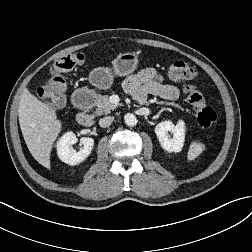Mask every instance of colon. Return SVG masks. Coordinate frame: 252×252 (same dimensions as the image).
<instances>
[{"instance_id": "obj_1", "label": "colon", "mask_w": 252, "mask_h": 252, "mask_svg": "<svg viewBox=\"0 0 252 252\" xmlns=\"http://www.w3.org/2000/svg\"><path fill=\"white\" fill-rule=\"evenodd\" d=\"M83 62L84 56L80 53L69 54L58 59L54 63L52 76L36 90V96L51 107H61L66 99V83L62 75ZM168 74L171 80L183 84L187 102L191 105L198 124L205 128L213 126L217 121L215 110L207 104L198 88L190 83L197 76L196 69L185 61H175L170 65Z\"/></svg>"}]
</instances>
